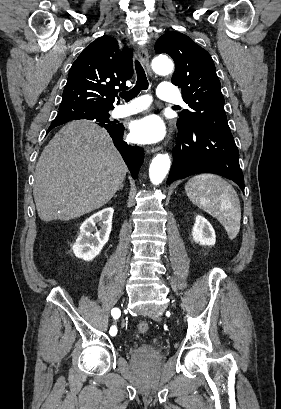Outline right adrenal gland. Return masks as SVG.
Segmentation results:
<instances>
[{"label": "right adrenal gland", "mask_w": 281, "mask_h": 409, "mask_svg": "<svg viewBox=\"0 0 281 409\" xmlns=\"http://www.w3.org/2000/svg\"><path fill=\"white\" fill-rule=\"evenodd\" d=\"M123 186H124V182H121L119 188H117V190H123Z\"/></svg>", "instance_id": "right-adrenal-gland-1"}]
</instances>
